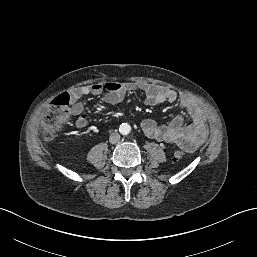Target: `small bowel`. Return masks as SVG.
Returning <instances> with one entry per match:
<instances>
[{
    "label": "small bowel",
    "mask_w": 257,
    "mask_h": 257,
    "mask_svg": "<svg viewBox=\"0 0 257 257\" xmlns=\"http://www.w3.org/2000/svg\"><path fill=\"white\" fill-rule=\"evenodd\" d=\"M140 90L144 93V102L149 106L164 102H179L185 109L191 123L184 124L181 115L175 116L168 124H158L154 119L148 118L141 123L144 134L158 141L173 143L186 151H194L200 147L208 136L206 117L198 104L188 96L178 97V94L167 87L152 84L146 81L139 82H106L75 88L70 94V114L77 118L76 126L84 128L87 125L84 116V105L80 101L83 96H101L102 101L109 105L121 103L126 94Z\"/></svg>",
    "instance_id": "small-bowel-1"
}]
</instances>
